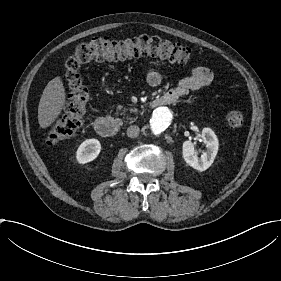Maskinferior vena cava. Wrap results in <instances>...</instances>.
Here are the masks:
<instances>
[{
  "label": "inferior vena cava",
  "mask_w": 281,
  "mask_h": 281,
  "mask_svg": "<svg viewBox=\"0 0 281 281\" xmlns=\"http://www.w3.org/2000/svg\"><path fill=\"white\" fill-rule=\"evenodd\" d=\"M140 129L136 125H132L127 129V136L130 138H135L139 135Z\"/></svg>",
  "instance_id": "inferior-vena-cava-1"
}]
</instances>
